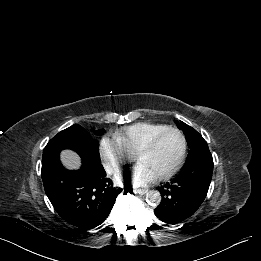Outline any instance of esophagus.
I'll return each instance as SVG.
<instances>
[{
  "label": "esophagus",
  "instance_id": "1",
  "mask_svg": "<svg viewBox=\"0 0 261 261\" xmlns=\"http://www.w3.org/2000/svg\"><path fill=\"white\" fill-rule=\"evenodd\" d=\"M135 191L140 195H144L148 192V189H137Z\"/></svg>",
  "mask_w": 261,
  "mask_h": 261
}]
</instances>
